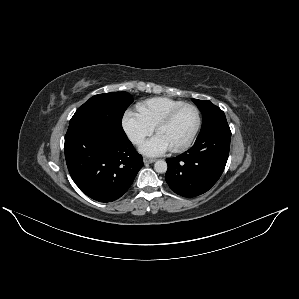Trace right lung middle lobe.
I'll use <instances>...</instances> for the list:
<instances>
[{"label": "right lung middle lobe", "mask_w": 299, "mask_h": 299, "mask_svg": "<svg viewBox=\"0 0 299 299\" xmlns=\"http://www.w3.org/2000/svg\"><path fill=\"white\" fill-rule=\"evenodd\" d=\"M133 101L132 95L127 92L95 95L76 110L69 126L83 123L106 124L115 131L124 132L122 117Z\"/></svg>", "instance_id": "1"}]
</instances>
